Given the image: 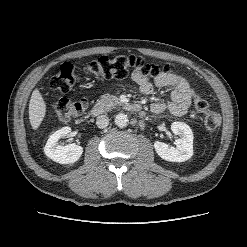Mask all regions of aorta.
<instances>
[{
    "label": "aorta",
    "mask_w": 247,
    "mask_h": 247,
    "mask_svg": "<svg viewBox=\"0 0 247 247\" xmlns=\"http://www.w3.org/2000/svg\"><path fill=\"white\" fill-rule=\"evenodd\" d=\"M115 124L120 127V128H124L127 126L128 124V117L127 115L123 114V113H119L115 116Z\"/></svg>",
    "instance_id": "obj_1"
}]
</instances>
